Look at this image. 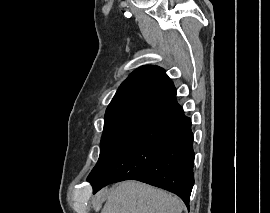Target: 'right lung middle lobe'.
Here are the masks:
<instances>
[{
  "mask_svg": "<svg viewBox=\"0 0 270 213\" xmlns=\"http://www.w3.org/2000/svg\"><path fill=\"white\" fill-rule=\"evenodd\" d=\"M154 108L155 106L150 104H133L106 112L100 156L88 176V181L106 167L138 125Z\"/></svg>",
  "mask_w": 270,
  "mask_h": 213,
  "instance_id": "right-lung-middle-lobe-1",
  "label": "right lung middle lobe"
}]
</instances>
